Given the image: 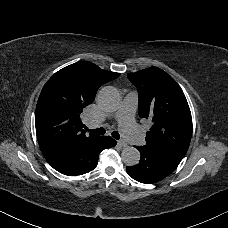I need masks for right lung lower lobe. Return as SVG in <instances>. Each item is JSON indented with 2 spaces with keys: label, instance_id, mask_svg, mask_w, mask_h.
<instances>
[{
  "label": "right lung lower lobe",
  "instance_id": "98d812e1",
  "mask_svg": "<svg viewBox=\"0 0 228 228\" xmlns=\"http://www.w3.org/2000/svg\"><path fill=\"white\" fill-rule=\"evenodd\" d=\"M116 141L110 136L78 144L55 159L49 164L62 174L75 176L93 170L98 161L99 153L107 148L114 147Z\"/></svg>",
  "mask_w": 228,
  "mask_h": 228
}]
</instances>
